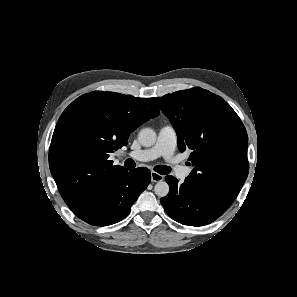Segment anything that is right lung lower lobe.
<instances>
[{
    "label": "right lung lower lobe",
    "mask_w": 297,
    "mask_h": 297,
    "mask_svg": "<svg viewBox=\"0 0 297 297\" xmlns=\"http://www.w3.org/2000/svg\"><path fill=\"white\" fill-rule=\"evenodd\" d=\"M151 180L147 168L126 170L102 190L79 214L83 221L95 226H107L125 218L138 196Z\"/></svg>",
    "instance_id": "98d812e1"
}]
</instances>
